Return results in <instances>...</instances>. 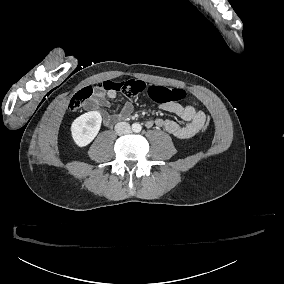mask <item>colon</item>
Here are the masks:
<instances>
[{"label":"colon","instance_id":"obj_1","mask_svg":"<svg viewBox=\"0 0 284 284\" xmlns=\"http://www.w3.org/2000/svg\"><path fill=\"white\" fill-rule=\"evenodd\" d=\"M147 84L143 80H129L118 82L114 80H104L97 83V87L106 91H119L127 95H137L146 88ZM93 92L92 86H86L74 93L70 100V107L72 110H78L83 105L85 99ZM151 97L159 103H166L167 101L183 100L186 96V91L182 87L175 89H168L163 86L154 85L150 89ZM211 125V116H206L205 126L202 128V133L208 132V126Z\"/></svg>","mask_w":284,"mask_h":284}]
</instances>
